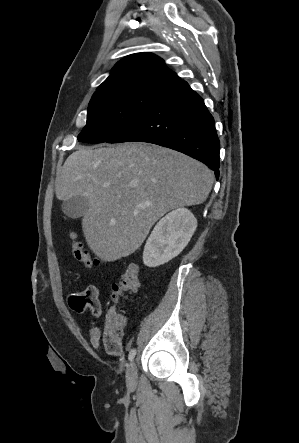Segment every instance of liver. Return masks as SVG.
<instances>
[{
	"instance_id": "1",
	"label": "liver",
	"mask_w": 299,
	"mask_h": 443,
	"mask_svg": "<svg viewBox=\"0 0 299 443\" xmlns=\"http://www.w3.org/2000/svg\"><path fill=\"white\" fill-rule=\"evenodd\" d=\"M214 181L203 163L175 150L145 143L80 147L56 179V197L88 198L82 230L103 261L134 253L154 223L170 210L202 204ZM150 203L145 208L139 206Z\"/></svg>"
}]
</instances>
